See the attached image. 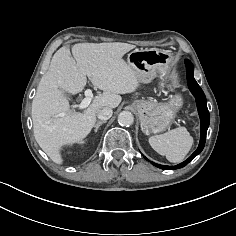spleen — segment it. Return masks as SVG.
Returning <instances> with one entry per match:
<instances>
[{
  "label": "spleen",
  "mask_w": 236,
  "mask_h": 236,
  "mask_svg": "<svg viewBox=\"0 0 236 236\" xmlns=\"http://www.w3.org/2000/svg\"><path fill=\"white\" fill-rule=\"evenodd\" d=\"M149 144L168 161L178 163L189 153L193 138L185 127H178L164 134L149 137Z\"/></svg>",
  "instance_id": "3e777b00"
}]
</instances>
